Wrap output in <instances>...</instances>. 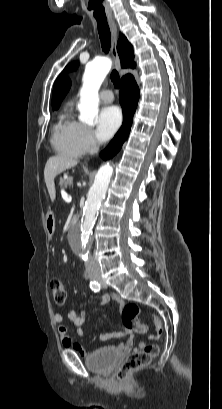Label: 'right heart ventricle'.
Returning <instances> with one entry per match:
<instances>
[{"label": "right heart ventricle", "instance_id": "e07e8e85", "mask_svg": "<svg viewBox=\"0 0 222 409\" xmlns=\"http://www.w3.org/2000/svg\"><path fill=\"white\" fill-rule=\"evenodd\" d=\"M81 126L70 109L62 112L53 127L52 135V144L59 154L78 158L85 153L80 140Z\"/></svg>", "mask_w": 222, "mask_h": 409}]
</instances>
